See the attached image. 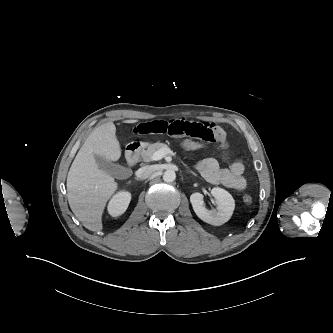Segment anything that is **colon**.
<instances>
[{"label":"colon","mask_w":333,"mask_h":333,"mask_svg":"<svg viewBox=\"0 0 333 333\" xmlns=\"http://www.w3.org/2000/svg\"><path fill=\"white\" fill-rule=\"evenodd\" d=\"M177 143L181 149H183L184 151H188V152H197V151H202V150H205L208 148L207 141L195 139V138H191V137L180 138V139H178ZM243 201L246 204H251L253 199L250 195L246 194L243 196Z\"/></svg>","instance_id":"5ec220e1"}]
</instances>
